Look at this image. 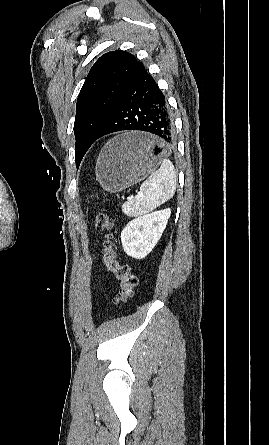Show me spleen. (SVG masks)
I'll return each instance as SVG.
<instances>
[{
	"instance_id": "3e777b00",
	"label": "spleen",
	"mask_w": 269,
	"mask_h": 445,
	"mask_svg": "<svg viewBox=\"0 0 269 445\" xmlns=\"http://www.w3.org/2000/svg\"><path fill=\"white\" fill-rule=\"evenodd\" d=\"M176 171L168 159H163L160 168L141 184L140 192L122 204L124 214L134 217L144 215L170 200L175 193Z\"/></svg>"
}]
</instances>
